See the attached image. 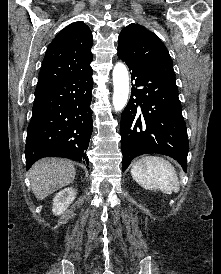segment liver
<instances>
[{
    "label": "liver",
    "mask_w": 221,
    "mask_h": 274,
    "mask_svg": "<svg viewBox=\"0 0 221 274\" xmlns=\"http://www.w3.org/2000/svg\"><path fill=\"white\" fill-rule=\"evenodd\" d=\"M75 175L72 162L59 158L41 159L29 170L32 192L38 200L72 183Z\"/></svg>",
    "instance_id": "1"
}]
</instances>
